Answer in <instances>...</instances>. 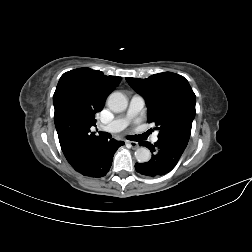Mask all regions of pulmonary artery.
<instances>
[{
    "label": "pulmonary artery",
    "mask_w": 252,
    "mask_h": 252,
    "mask_svg": "<svg viewBox=\"0 0 252 252\" xmlns=\"http://www.w3.org/2000/svg\"><path fill=\"white\" fill-rule=\"evenodd\" d=\"M145 100L141 95L135 94L132 96L127 111L106 125H100V129L106 132L114 133L124 129L129 122L136 117L144 108ZM158 136H153V141H157Z\"/></svg>",
    "instance_id": "obj_1"
}]
</instances>
